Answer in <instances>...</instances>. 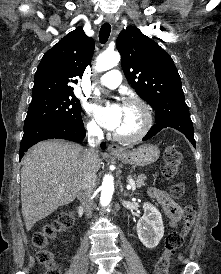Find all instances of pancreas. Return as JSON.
I'll return each instance as SVG.
<instances>
[{"instance_id": "1", "label": "pancreas", "mask_w": 221, "mask_h": 274, "mask_svg": "<svg viewBox=\"0 0 221 274\" xmlns=\"http://www.w3.org/2000/svg\"><path fill=\"white\" fill-rule=\"evenodd\" d=\"M134 179H135L136 187L141 188L146 186L145 180L147 179V177L145 175L141 174L138 177H135Z\"/></svg>"}]
</instances>
